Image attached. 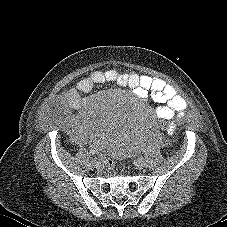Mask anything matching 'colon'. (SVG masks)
Segmentation results:
<instances>
[{
  "instance_id": "5ec220e1",
  "label": "colon",
  "mask_w": 227,
  "mask_h": 227,
  "mask_svg": "<svg viewBox=\"0 0 227 227\" xmlns=\"http://www.w3.org/2000/svg\"><path fill=\"white\" fill-rule=\"evenodd\" d=\"M162 126L165 130L170 131L173 129L178 134H187L189 132V125L187 123H183L179 119L173 121L172 119L167 118L163 121ZM108 164L112 166L113 162L108 160Z\"/></svg>"
}]
</instances>
